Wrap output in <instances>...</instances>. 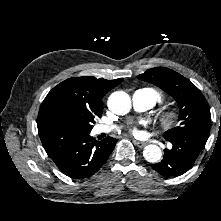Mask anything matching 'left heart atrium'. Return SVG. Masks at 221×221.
I'll list each match as a JSON object with an SVG mask.
<instances>
[{
	"mask_svg": "<svg viewBox=\"0 0 221 221\" xmlns=\"http://www.w3.org/2000/svg\"><path fill=\"white\" fill-rule=\"evenodd\" d=\"M129 132L134 136H138L140 134V131L136 126H130Z\"/></svg>",
	"mask_w": 221,
	"mask_h": 221,
	"instance_id": "39dd6f15",
	"label": "left heart atrium"
}]
</instances>
